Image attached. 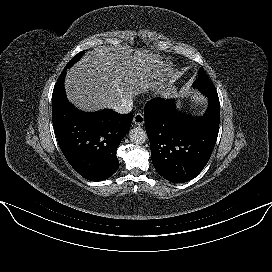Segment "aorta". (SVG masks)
<instances>
[{
  "instance_id": "762f6f07",
  "label": "aorta",
  "mask_w": 272,
  "mask_h": 272,
  "mask_svg": "<svg viewBox=\"0 0 272 272\" xmlns=\"http://www.w3.org/2000/svg\"><path fill=\"white\" fill-rule=\"evenodd\" d=\"M129 137L132 143L136 145H141L147 140V133L141 127H134L129 132Z\"/></svg>"
}]
</instances>
